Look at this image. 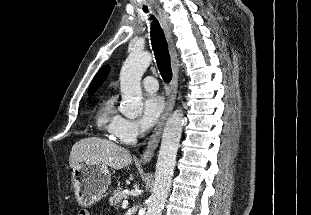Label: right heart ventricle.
I'll list each match as a JSON object with an SVG mask.
<instances>
[{
    "mask_svg": "<svg viewBox=\"0 0 311 215\" xmlns=\"http://www.w3.org/2000/svg\"><path fill=\"white\" fill-rule=\"evenodd\" d=\"M122 118L114 107V99L110 98L100 107L97 113L96 123L100 130L114 138L115 128Z\"/></svg>",
    "mask_w": 311,
    "mask_h": 215,
    "instance_id": "e07e8e85",
    "label": "right heart ventricle"
}]
</instances>
